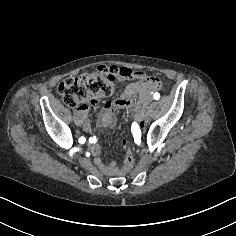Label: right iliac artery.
Returning <instances> with one entry per match:
<instances>
[{"mask_svg": "<svg viewBox=\"0 0 236 236\" xmlns=\"http://www.w3.org/2000/svg\"><path fill=\"white\" fill-rule=\"evenodd\" d=\"M85 141H86L85 137L79 138V143H80V144H84Z\"/></svg>", "mask_w": 236, "mask_h": 236, "instance_id": "1", "label": "right iliac artery"}]
</instances>
